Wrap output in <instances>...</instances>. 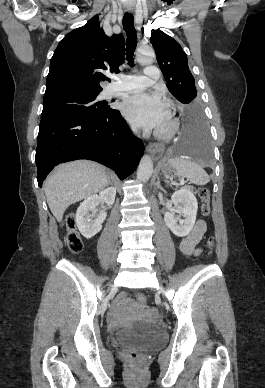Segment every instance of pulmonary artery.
Returning <instances> with one entry per match:
<instances>
[{
  "instance_id": "pulmonary-artery-1",
  "label": "pulmonary artery",
  "mask_w": 265,
  "mask_h": 388,
  "mask_svg": "<svg viewBox=\"0 0 265 388\" xmlns=\"http://www.w3.org/2000/svg\"><path fill=\"white\" fill-rule=\"evenodd\" d=\"M145 69L146 75H116L115 81L119 83H113L110 95H117L116 90H128L130 94H142L144 86L161 81V76L158 75L159 72L155 64H146Z\"/></svg>"
}]
</instances>
